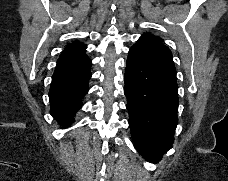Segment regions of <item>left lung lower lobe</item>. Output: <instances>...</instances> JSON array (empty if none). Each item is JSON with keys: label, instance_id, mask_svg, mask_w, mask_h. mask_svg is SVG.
Listing matches in <instances>:
<instances>
[{"label": "left lung lower lobe", "instance_id": "1", "mask_svg": "<svg viewBox=\"0 0 228 181\" xmlns=\"http://www.w3.org/2000/svg\"><path fill=\"white\" fill-rule=\"evenodd\" d=\"M125 95L138 152L157 163L172 148L178 124V85L172 54L161 41L141 37L130 49Z\"/></svg>", "mask_w": 228, "mask_h": 181}]
</instances>
